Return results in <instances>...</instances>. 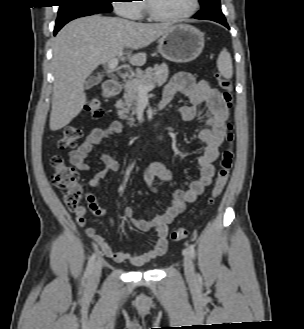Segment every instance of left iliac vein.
Returning <instances> with one entry per match:
<instances>
[{"mask_svg": "<svg viewBox=\"0 0 304 329\" xmlns=\"http://www.w3.org/2000/svg\"><path fill=\"white\" fill-rule=\"evenodd\" d=\"M184 271L187 280L190 283H193L195 281V270L191 256L188 252H184Z\"/></svg>", "mask_w": 304, "mask_h": 329, "instance_id": "left-iliac-vein-1", "label": "left iliac vein"}]
</instances>
